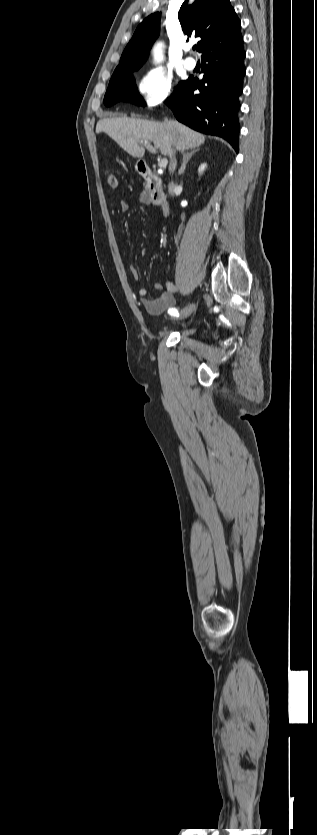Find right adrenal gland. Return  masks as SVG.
Returning <instances> with one entry per match:
<instances>
[{"mask_svg":"<svg viewBox=\"0 0 317 835\" xmlns=\"http://www.w3.org/2000/svg\"><path fill=\"white\" fill-rule=\"evenodd\" d=\"M196 152H199V149H192V150H190V152H187V153H184V154H183V163H182V166H181V168H180V170H179V172H178V175H181V174H183V173H184L185 168H186V166H187V163L189 162V160L191 159V157H192V156H193Z\"/></svg>","mask_w":317,"mask_h":835,"instance_id":"obj_1","label":"right adrenal gland"}]
</instances>
